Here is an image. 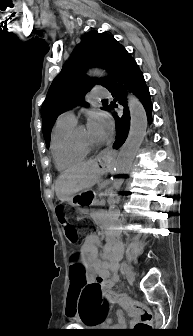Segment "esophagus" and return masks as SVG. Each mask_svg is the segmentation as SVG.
Instances as JSON below:
<instances>
[{"label": "esophagus", "mask_w": 193, "mask_h": 336, "mask_svg": "<svg viewBox=\"0 0 193 336\" xmlns=\"http://www.w3.org/2000/svg\"><path fill=\"white\" fill-rule=\"evenodd\" d=\"M113 154H116V151L112 148V146H108L107 148H105V149L99 154V157H100V158H103V157H105V156L113 155Z\"/></svg>", "instance_id": "1"}]
</instances>
